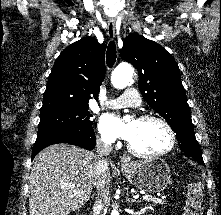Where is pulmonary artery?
<instances>
[{"label": "pulmonary artery", "mask_w": 221, "mask_h": 215, "mask_svg": "<svg viewBox=\"0 0 221 215\" xmlns=\"http://www.w3.org/2000/svg\"><path fill=\"white\" fill-rule=\"evenodd\" d=\"M140 102L138 91L134 88H128L118 98L109 100L106 105L110 108L137 107Z\"/></svg>", "instance_id": "obj_1"}]
</instances>
